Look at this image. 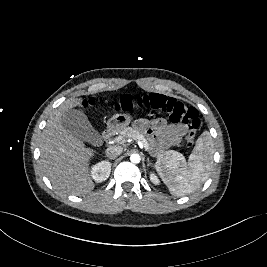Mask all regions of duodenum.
I'll return each instance as SVG.
<instances>
[{"mask_svg": "<svg viewBox=\"0 0 267 267\" xmlns=\"http://www.w3.org/2000/svg\"><path fill=\"white\" fill-rule=\"evenodd\" d=\"M114 133V129L113 127L109 126L107 127L103 133H102V137L105 141L109 140L111 138V136L113 135Z\"/></svg>", "mask_w": 267, "mask_h": 267, "instance_id": "duodenum-1", "label": "duodenum"}]
</instances>
